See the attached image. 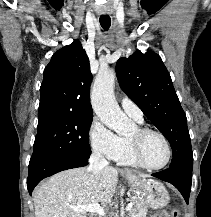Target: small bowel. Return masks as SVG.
<instances>
[{"mask_svg":"<svg viewBox=\"0 0 211 217\" xmlns=\"http://www.w3.org/2000/svg\"><path fill=\"white\" fill-rule=\"evenodd\" d=\"M151 217H156V215H153V216H151Z\"/></svg>","mask_w":211,"mask_h":217,"instance_id":"1","label":"small bowel"}]
</instances>
